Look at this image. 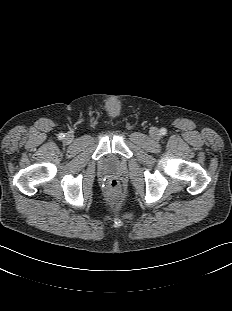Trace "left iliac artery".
<instances>
[{"instance_id": "obj_1", "label": "left iliac artery", "mask_w": 232, "mask_h": 311, "mask_svg": "<svg viewBox=\"0 0 232 311\" xmlns=\"http://www.w3.org/2000/svg\"><path fill=\"white\" fill-rule=\"evenodd\" d=\"M160 132H161L162 135H165L166 132H167V130H166L165 128H162V129L160 130Z\"/></svg>"}]
</instances>
